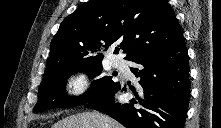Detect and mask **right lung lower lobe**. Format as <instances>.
I'll return each mask as SVG.
<instances>
[{"instance_id": "98d812e1", "label": "right lung lower lobe", "mask_w": 221, "mask_h": 128, "mask_svg": "<svg viewBox=\"0 0 221 128\" xmlns=\"http://www.w3.org/2000/svg\"><path fill=\"white\" fill-rule=\"evenodd\" d=\"M131 61L139 64L131 71L140 78L144 96L140 98L135 92L129 104L116 103L118 85L85 103V107L109 115L126 128H184L190 98L189 57L184 39Z\"/></svg>"}]
</instances>
